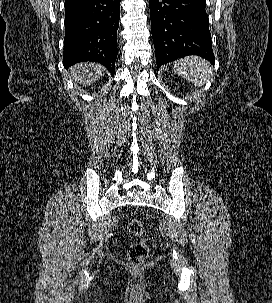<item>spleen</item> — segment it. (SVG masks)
<instances>
[{"instance_id": "spleen-1", "label": "spleen", "mask_w": 272, "mask_h": 303, "mask_svg": "<svg viewBox=\"0 0 272 303\" xmlns=\"http://www.w3.org/2000/svg\"><path fill=\"white\" fill-rule=\"evenodd\" d=\"M173 69L175 73L192 82L196 87H201L209 81L213 73L209 63L197 56H188L175 61Z\"/></svg>"}]
</instances>
